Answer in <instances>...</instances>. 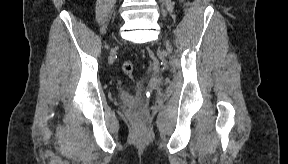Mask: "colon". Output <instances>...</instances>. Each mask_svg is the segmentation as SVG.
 Returning <instances> with one entry per match:
<instances>
[{
  "mask_svg": "<svg viewBox=\"0 0 288 164\" xmlns=\"http://www.w3.org/2000/svg\"><path fill=\"white\" fill-rule=\"evenodd\" d=\"M122 70L125 73V75L129 78L133 77V73H134V65L131 61H125L122 64Z\"/></svg>",
  "mask_w": 288,
  "mask_h": 164,
  "instance_id": "5ec220e1",
  "label": "colon"
}]
</instances>
